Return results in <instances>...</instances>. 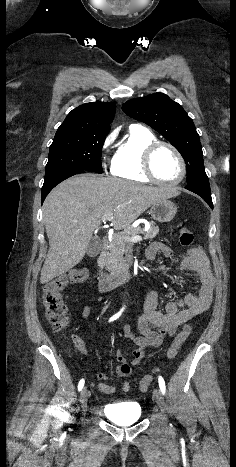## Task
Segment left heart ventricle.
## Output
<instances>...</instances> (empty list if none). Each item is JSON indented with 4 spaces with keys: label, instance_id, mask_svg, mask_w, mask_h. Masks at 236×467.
<instances>
[{
    "label": "left heart ventricle",
    "instance_id": "1",
    "mask_svg": "<svg viewBox=\"0 0 236 467\" xmlns=\"http://www.w3.org/2000/svg\"><path fill=\"white\" fill-rule=\"evenodd\" d=\"M153 168L157 177L166 182L177 180L181 174V166L177 156L167 147L157 150L153 159Z\"/></svg>",
    "mask_w": 236,
    "mask_h": 467
}]
</instances>
